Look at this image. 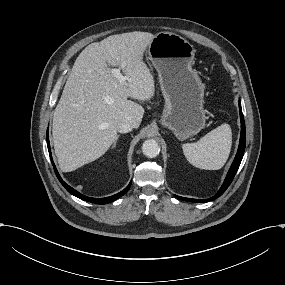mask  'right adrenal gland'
<instances>
[{
    "label": "right adrenal gland",
    "instance_id": "right-adrenal-gland-1",
    "mask_svg": "<svg viewBox=\"0 0 285 285\" xmlns=\"http://www.w3.org/2000/svg\"><path fill=\"white\" fill-rule=\"evenodd\" d=\"M118 138H119V135L117 136V140H118ZM116 142L113 144V147H116Z\"/></svg>",
    "mask_w": 285,
    "mask_h": 285
}]
</instances>
